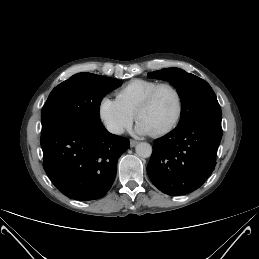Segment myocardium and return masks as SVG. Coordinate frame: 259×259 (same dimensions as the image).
<instances>
[{
	"mask_svg": "<svg viewBox=\"0 0 259 259\" xmlns=\"http://www.w3.org/2000/svg\"><path fill=\"white\" fill-rule=\"evenodd\" d=\"M164 88L170 89L175 94L176 99H177V113H176L174 119L172 120V122L169 125H167L165 128H163L159 131L150 132V134L154 137H160V136L166 135V134L170 133L171 131H173L180 123L182 116H183V112H184V102H183V97H182L180 90L171 83H167V82L159 83L152 90L149 91V93L144 97L143 101L141 102V104L136 112L137 122L140 123L141 116L151 106V104L153 103V101L155 99L156 94L161 89H164Z\"/></svg>",
	"mask_w": 259,
	"mask_h": 259,
	"instance_id": "obj_1",
	"label": "myocardium"
}]
</instances>
